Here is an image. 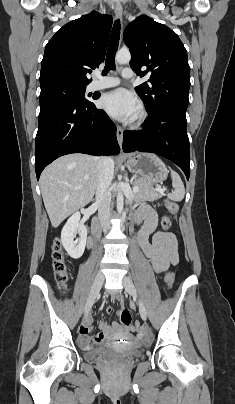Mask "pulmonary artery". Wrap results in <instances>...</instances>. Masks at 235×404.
<instances>
[{
    "label": "pulmonary artery",
    "mask_w": 235,
    "mask_h": 404,
    "mask_svg": "<svg viewBox=\"0 0 235 404\" xmlns=\"http://www.w3.org/2000/svg\"><path fill=\"white\" fill-rule=\"evenodd\" d=\"M122 77L130 79L134 77V72L130 68H124L122 71ZM120 79L117 77H102L100 74H96V79L90 84V90H100L105 88H111L119 85Z\"/></svg>",
    "instance_id": "obj_1"
}]
</instances>
